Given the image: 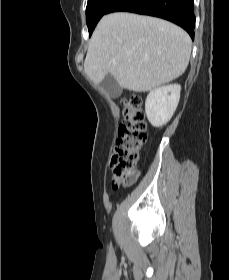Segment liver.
I'll return each instance as SVG.
<instances>
[{
	"label": "liver",
	"mask_w": 229,
	"mask_h": 280,
	"mask_svg": "<svg viewBox=\"0 0 229 280\" xmlns=\"http://www.w3.org/2000/svg\"><path fill=\"white\" fill-rule=\"evenodd\" d=\"M191 48L189 35L168 21L112 13L99 21L92 34L84 70L96 85L111 74L121 88L147 92L181 76Z\"/></svg>",
	"instance_id": "6515ba94"
}]
</instances>
